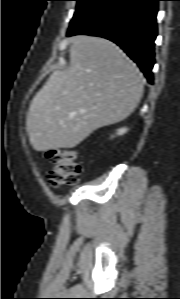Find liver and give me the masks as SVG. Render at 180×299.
Returning <instances> with one entry per match:
<instances>
[{
	"label": "liver",
	"mask_w": 180,
	"mask_h": 299,
	"mask_svg": "<svg viewBox=\"0 0 180 299\" xmlns=\"http://www.w3.org/2000/svg\"><path fill=\"white\" fill-rule=\"evenodd\" d=\"M69 54V67L54 71L31 101L26 125L36 151L74 148L126 119L142 98V74L111 41L79 35Z\"/></svg>",
	"instance_id": "obj_1"
}]
</instances>
